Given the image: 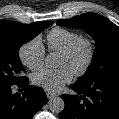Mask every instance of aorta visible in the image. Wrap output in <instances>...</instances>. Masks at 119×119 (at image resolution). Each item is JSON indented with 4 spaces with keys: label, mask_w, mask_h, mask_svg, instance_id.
I'll list each match as a JSON object with an SVG mask.
<instances>
[{
    "label": "aorta",
    "mask_w": 119,
    "mask_h": 119,
    "mask_svg": "<svg viewBox=\"0 0 119 119\" xmlns=\"http://www.w3.org/2000/svg\"><path fill=\"white\" fill-rule=\"evenodd\" d=\"M45 65L47 67H54V58H53L52 55H47L46 56ZM48 104H49V109L52 112H55V113L62 112L64 107H65L64 100L61 97H58V96L52 97L49 100Z\"/></svg>",
    "instance_id": "762f6f07"
}]
</instances>
